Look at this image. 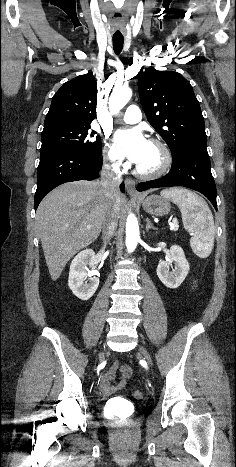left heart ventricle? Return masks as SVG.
Instances as JSON below:
<instances>
[{
    "label": "left heart ventricle",
    "mask_w": 236,
    "mask_h": 467,
    "mask_svg": "<svg viewBox=\"0 0 236 467\" xmlns=\"http://www.w3.org/2000/svg\"><path fill=\"white\" fill-rule=\"evenodd\" d=\"M160 162L161 153L159 149L156 146L149 143L143 159L137 165L143 170L151 171L156 169L159 166Z\"/></svg>",
    "instance_id": "1"
}]
</instances>
